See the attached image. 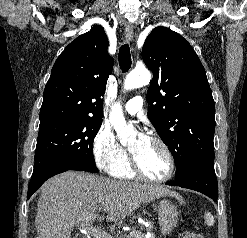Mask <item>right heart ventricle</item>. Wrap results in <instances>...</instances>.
I'll list each match as a JSON object with an SVG mask.
<instances>
[{"instance_id": "obj_1", "label": "right heart ventricle", "mask_w": 247, "mask_h": 238, "mask_svg": "<svg viewBox=\"0 0 247 238\" xmlns=\"http://www.w3.org/2000/svg\"><path fill=\"white\" fill-rule=\"evenodd\" d=\"M111 174L116 177V178H121V179H131L135 175L132 172L131 166L129 161H125L124 163L120 164L117 166Z\"/></svg>"}]
</instances>
